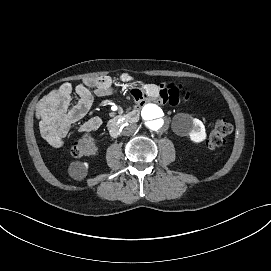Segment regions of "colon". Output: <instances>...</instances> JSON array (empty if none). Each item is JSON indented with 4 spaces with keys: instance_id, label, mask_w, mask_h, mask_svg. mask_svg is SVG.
Here are the masks:
<instances>
[{
    "instance_id": "obj_1",
    "label": "colon",
    "mask_w": 271,
    "mask_h": 271,
    "mask_svg": "<svg viewBox=\"0 0 271 271\" xmlns=\"http://www.w3.org/2000/svg\"><path fill=\"white\" fill-rule=\"evenodd\" d=\"M171 89L177 90L176 85H172ZM233 130L232 123L224 116H221L214 124L208 138L207 146L216 148L223 145ZM70 151L73 157L82 158L86 156H94L97 154L98 148L96 139L91 134H85L77 141L73 142Z\"/></svg>"
}]
</instances>
